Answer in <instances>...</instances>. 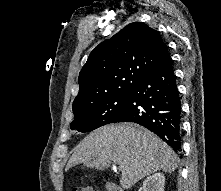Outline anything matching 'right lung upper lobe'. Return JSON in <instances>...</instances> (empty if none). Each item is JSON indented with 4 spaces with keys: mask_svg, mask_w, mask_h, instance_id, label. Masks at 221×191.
Segmentation results:
<instances>
[{
    "mask_svg": "<svg viewBox=\"0 0 221 191\" xmlns=\"http://www.w3.org/2000/svg\"><path fill=\"white\" fill-rule=\"evenodd\" d=\"M168 55L159 32L142 22L127 25L90 53L79 74L73 112L132 91Z\"/></svg>",
    "mask_w": 221,
    "mask_h": 191,
    "instance_id": "right-lung-upper-lobe-1",
    "label": "right lung upper lobe"
}]
</instances>
